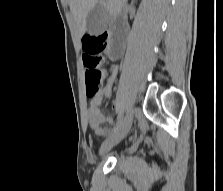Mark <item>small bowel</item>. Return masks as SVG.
I'll return each instance as SVG.
<instances>
[{
	"label": "small bowel",
	"mask_w": 223,
	"mask_h": 191,
	"mask_svg": "<svg viewBox=\"0 0 223 191\" xmlns=\"http://www.w3.org/2000/svg\"><path fill=\"white\" fill-rule=\"evenodd\" d=\"M117 72L118 68L115 65L110 67L109 76L107 77L104 86L96 96L92 97L90 100V107L87 111L88 124L90 128L93 129L94 132L100 137H105L112 131L110 126L103 127V123H107L108 125H114L116 123L114 118L106 117L104 115L101 107L104 102L111 96L112 86L115 81Z\"/></svg>",
	"instance_id": "1"
}]
</instances>
